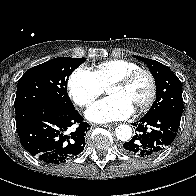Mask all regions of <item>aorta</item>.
<instances>
[{
    "instance_id": "762f6f07",
    "label": "aorta",
    "mask_w": 196,
    "mask_h": 196,
    "mask_svg": "<svg viewBox=\"0 0 196 196\" xmlns=\"http://www.w3.org/2000/svg\"><path fill=\"white\" fill-rule=\"evenodd\" d=\"M132 136V128L129 125H119L116 128V137L121 141H128Z\"/></svg>"
}]
</instances>
